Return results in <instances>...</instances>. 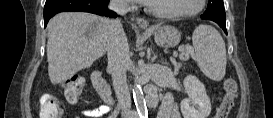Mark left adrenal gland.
I'll use <instances>...</instances> for the list:
<instances>
[{"label":"left adrenal gland","instance_id":"1","mask_svg":"<svg viewBox=\"0 0 273 118\" xmlns=\"http://www.w3.org/2000/svg\"><path fill=\"white\" fill-rule=\"evenodd\" d=\"M154 58H157V54H155V57Z\"/></svg>","mask_w":273,"mask_h":118}]
</instances>
